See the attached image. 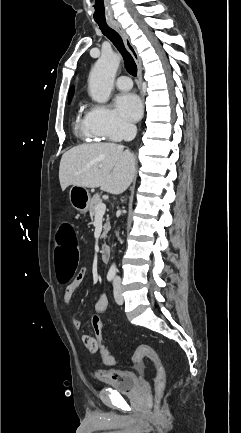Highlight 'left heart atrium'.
Returning a JSON list of instances; mask_svg holds the SVG:
<instances>
[{
	"instance_id": "obj_1",
	"label": "left heart atrium",
	"mask_w": 241,
	"mask_h": 433,
	"mask_svg": "<svg viewBox=\"0 0 241 433\" xmlns=\"http://www.w3.org/2000/svg\"><path fill=\"white\" fill-rule=\"evenodd\" d=\"M117 113L127 121H136L142 114V104L139 97L132 93L117 96L115 100Z\"/></svg>"
}]
</instances>
